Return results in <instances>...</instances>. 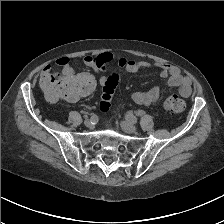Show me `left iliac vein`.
Wrapping results in <instances>:
<instances>
[{
    "label": "left iliac vein",
    "mask_w": 224,
    "mask_h": 224,
    "mask_svg": "<svg viewBox=\"0 0 224 224\" xmlns=\"http://www.w3.org/2000/svg\"><path fill=\"white\" fill-rule=\"evenodd\" d=\"M120 125L122 130L128 134L135 133L137 131L136 127L128 121H122Z\"/></svg>",
    "instance_id": "4c4485c4"
}]
</instances>
